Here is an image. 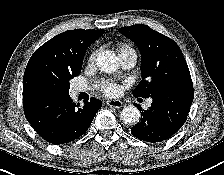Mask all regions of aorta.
I'll return each instance as SVG.
<instances>
[{"label":"aorta","mask_w":224,"mask_h":175,"mask_svg":"<svg viewBox=\"0 0 224 175\" xmlns=\"http://www.w3.org/2000/svg\"><path fill=\"white\" fill-rule=\"evenodd\" d=\"M96 65L105 73H113L119 67V60L113 52L106 51L97 57ZM120 117L126 124H136L140 120V111L137 107L128 105L122 109Z\"/></svg>","instance_id":"762f6f07"}]
</instances>
